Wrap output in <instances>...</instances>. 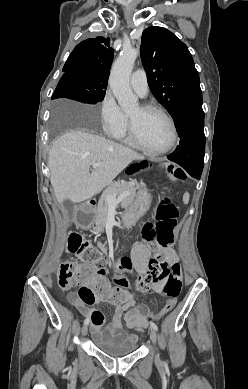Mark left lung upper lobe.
I'll list each match as a JSON object with an SVG mask.
<instances>
[{
	"mask_svg": "<svg viewBox=\"0 0 248 389\" xmlns=\"http://www.w3.org/2000/svg\"><path fill=\"white\" fill-rule=\"evenodd\" d=\"M140 53L150 90L172 117L185 104L202 99L193 58L172 32L157 26L145 29Z\"/></svg>",
	"mask_w": 248,
	"mask_h": 389,
	"instance_id": "left-lung-upper-lobe-1",
	"label": "left lung upper lobe"
}]
</instances>
